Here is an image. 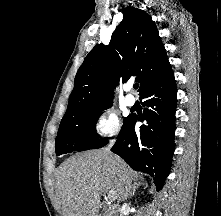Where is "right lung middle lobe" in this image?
I'll return each mask as SVG.
<instances>
[{"label": "right lung middle lobe", "instance_id": "dd1d6c3e", "mask_svg": "<svg viewBox=\"0 0 221 216\" xmlns=\"http://www.w3.org/2000/svg\"><path fill=\"white\" fill-rule=\"evenodd\" d=\"M111 105L93 108L78 115L63 118L55 142L56 155L105 146L108 141L97 138L95 127L102 111ZM126 121L127 118L124 119V123Z\"/></svg>", "mask_w": 221, "mask_h": 216}]
</instances>
